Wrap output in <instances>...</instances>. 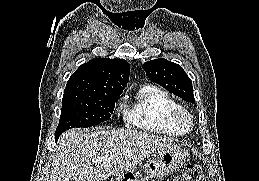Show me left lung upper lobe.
I'll return each instance as SVG.
<instances>
[{
  "label": "left lung upper lobe",
  "instance_id": "5c2ea615",
  "mask_svg": "<svg viewBox=\"0 0 259 181\" xmlns=\"http://www.w3.org/2000/svg\"><path fill=\"white\" fill-rule=\"evenodd\" d=\"M143 68L151 80L186 102L195 103L192 82L178 64L159 58L145 62Z\"/></svg>",
  "mask_w": 259,
  "mask_h": 181
}]
</instances>
